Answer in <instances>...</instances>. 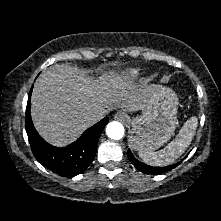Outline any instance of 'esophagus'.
Returning a JSON list of instances; mask_svg holds the SVG:
<instances>
[{
    "mask_svg": "<svg viewBox=\"0 0 221 221\" xmlns=\"http://www.w3.org/2000/svg\"><path fill=\"white\" fill-rule=\"evenodd\" d=\"M115 120L117 121H121V122H125L127 120V115L125 112L123 111H118L115 115H114Z\"/></svg>",
    "mask_w": 221,
    "mask_h": 221,
    "instance_id": "34e87169",
    "label": "esophagus"
}]
</instances>
